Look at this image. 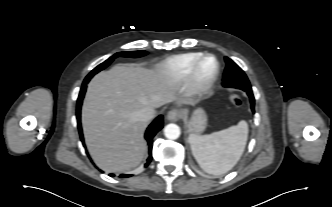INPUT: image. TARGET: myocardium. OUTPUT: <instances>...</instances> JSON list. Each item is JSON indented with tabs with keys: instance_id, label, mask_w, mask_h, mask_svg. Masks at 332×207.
<instances>
[{
	"instance_id": "1",
	"label": "myocardium",
	"mask_w": 332,
	"mask_h": 207,
	"mask_svg": "<svg viewBox=\"0 0 332 207\" xmlns=\"http://www.w3.org/2000/svg\"><path fill=\"white\" fill-rule=\"evenodd\" d=\"M214 61V70L211 75L203 79L199 75V68L205 59ZM220 72L218 59L212 54H202L191 66L187 76V92L192 96H203L211 91L215 85Z\"/></svg>"
}]
</instances>
